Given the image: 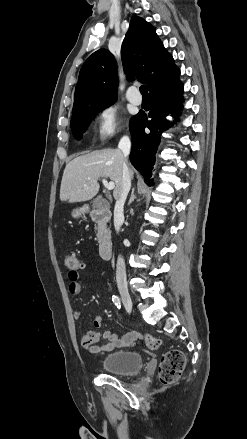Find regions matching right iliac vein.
<instances>
[{"instance_id": "63e3f726", "label": "right iliac vein", "mask_w": 247, "mask_h": 439, "mask_svg": "<svg viewBox=\"0 0 247 439\" xmlns=\"http://www.w3.org/2000/svg\"><path fill=\"white\" fill-rule=\"evenodd\" d=\"M119 291H120V295L122 298V302H123L127 312L130 313L132 311V305H133L131 296H130L127 288H125V287L120 288Z\"/></svg>"}]
</instances>
